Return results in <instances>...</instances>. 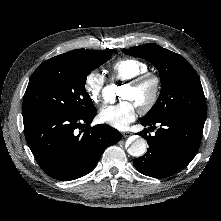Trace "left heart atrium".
Instances as JSON below:
<instances>
[{"mask_svg": "<svg viewBox=\"0 0 221 221\" xmlns=\"http://www.w3.org/2000/svg\"><path fill=\"white\" fill-rule=\"evenodd\" d=\"M136 116L137 105L127 99L116 104L104 106L98 114L101 122L119 130L127 128L135 120Z\"/></svg>", "mask_w": 221, "mask_h": 221, "instance_id": "obj_1", "label": "left heart atrium"}]
</instances>
